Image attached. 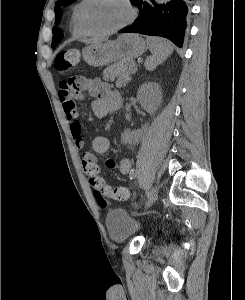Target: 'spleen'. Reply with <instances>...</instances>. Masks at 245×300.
I'll return each mask as SVG.
<instances>
[{"mask_svg":"<svg viewBox=\"0 0 245 300\" xmlns=\"http://www.w3.org/2000/svg\"><path fill=\"white\" fill-rule=\"evenodd\" d=\"M146 41L152 55L146 59L145 68L152 71L172 54L173 46L168 40L157 37H147Z\"/></svg>","mask_w":245,"mask_h":300,"instance_id":"3e777b00","label":"spleen"}]
</instances>
